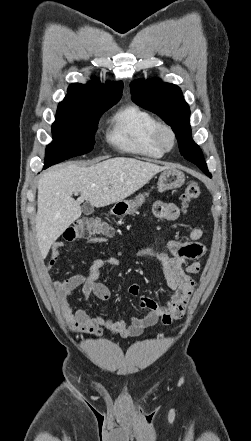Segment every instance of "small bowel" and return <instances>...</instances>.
Returning <instances> with one entry per match:
<instances>
[{"mask_svg":"<svg viewBox=\"0 0 251 441\" xmlns=\"http://www.w3.org/2000/svg\"><path fill=\"white\" fill-rule=\"evenodd\" d=\"M153 213L157 218L164 220H177L181 212L173 203L157 201L153 207ZM203 231L199 227L192 228L185 241L170 240L165 245L157 243L146 244L136 251L137 256L154 258L162 264L163 274L168 288L171 290V298L163 305L154 299L141 295L140 307L146 311L142 317H130L128 320L114 317L105 318L95 312L90 315L82 306L73 309L69 298L72 293L81 288L84 300L95 296L101 301L111 298V291L107 285L99 281L104 267H117L120 261L116 257H107L95 260L86 271L77 273L64 280H50L57 298L62 316L70 330L90 336H100L108 331L124 338L141 335L144 330L160 322L169 325L173 320L182 317L195 288L196 282L192 274L201 270L199 259L205 253V246L200 242ZM105 239L93 237L89 243H104ZM62 242H56L52 248L51 257L43 267V274L48 277L51 269L56 266L60 259L59 249ZM128 293L133 296L140 295V286L131 284Z\"/></svg>","mask_w":251,"mask_h":441,"instance_id":"obj_1","label":"small bowel"}]
</instances>
